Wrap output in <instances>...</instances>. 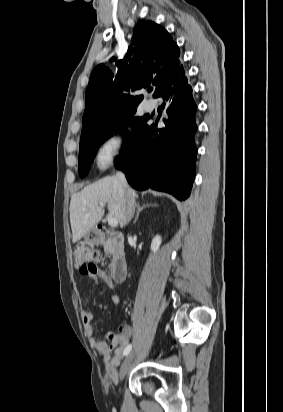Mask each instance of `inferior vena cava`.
I'll list each match as a JSON object with an SVG mask.
<instances>
[{"mask_svg": "<svg viewBox=\"0 0 283 412\" xmlns=\"http://www.w3.org/2000/svg\"><path fill=\"white\" fill-rule=\"evenodd\" d=\"M117 178L119 179L122 187L125 190V202H124V212L126 216V223L130 222L133 217L135 210V198L134 193L130 190L126 177L123 172L119 171L117 173Z\"/></svg>", "mask_w": 283, "mask_h": 412, "instance_id": "obj_1", "label": "inferior vena cava"}]
</instances>
